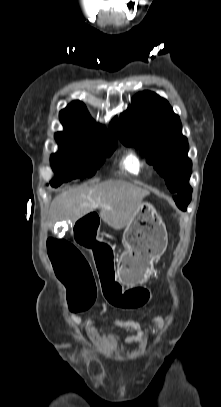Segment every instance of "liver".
<instances>
[{"mask_svg":"<svg viewBox=\"0 0 221 407\" xmlns=\"http://www.w3.org/2000/svg\"><path fill=\"white\" fill-rule=\"evenodd\" d=\"M148 195L147 190L128 182L108 181L62 192L52 201L50 213L55 221L76 222L100 208V218L113 229L120 230L132 221L143 198Z\"/></svg>","mask_w":221,"mask_h":407,"instance_id":"liver-1","label":"liver"}]
</instances>
